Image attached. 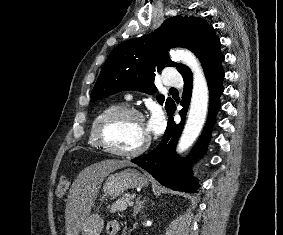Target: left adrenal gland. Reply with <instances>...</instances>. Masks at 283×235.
I'll use <instances>...</instances> for the list:
<instances>
[{
	"mask_svg": "<svg viewBox=\"0 0 283 235\" xmlns=\"http://www.w3.org/2000/svg\"><path fill=\"white\" fill-rule=\"evenodd\" d=\"M141 196H138L136 199L135 206L133 208V216L136 217V215L141 211L143 208L145 200L141 201L140 200Z\"/></svg>",
	"mask_w": 283,
	"mask_h": 235,
	"instance_id": "left-adrenal-gland-1",
	"label": "left adrenal gland"
}]
</instances>
